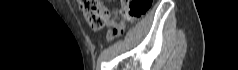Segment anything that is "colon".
<instances>
[{
  "mask_svg": "<svg viewBox=\"0 0 238 70\" xmlns=\"http://www.w3.org/2000/svg\"><path fill=\"white\" fill-rule=\"evenodd\" d=\"M151 0H122L121 13L128 21L140 18L150 7ZM78 5L89 26L93 29H101L107 23L108 14L98 0H78ZM118 33L117 28L113 29Z\"/></svg>",
  "mask_w": 238,
  "mask_h": 70,
  "instance_id": "5ec220e1",
  "label": "colon"
}]
</instances>
